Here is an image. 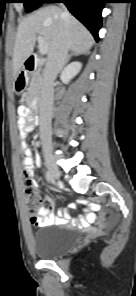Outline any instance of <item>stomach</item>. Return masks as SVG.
I'll return each instance as SVG.
<instances>
[{"instance_id": "0dacf381", "label": "stomach", "mask_w": 136, "mask_h": 296, "mask_svg": "<svg viewBox=\"0 0 136 296\" xmlns=\"http://www.w3.org/2000/svg\"><path fill=\"white\" fill-rule=\"evenodd\" d=\"M16 90H26V85H16Z\"/></svg>"}]
</instances>
